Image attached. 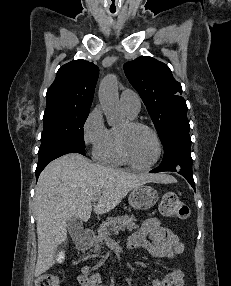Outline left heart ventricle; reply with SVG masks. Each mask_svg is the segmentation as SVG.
Masks as SVG:
<instances>
[{
	"label": "left heart ventricle",
	"mask_w": 231,
	"mask_h": 286,
	"mask_svg": "<svg viewBox=\"0 0 231 286\" xmlns=\"http://www.w3.org/2000/svg\"><path fill=\"white\" fill-rule=\"evenodd\" d=\"M126 131V123L119 129ZM127 149L132 160L138 165H147L157 154V145L153 135L142 128L126 132Z\"/></svg>",
	"instance_id": "left-heart-ventricle-1"
}]
</instances>
